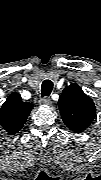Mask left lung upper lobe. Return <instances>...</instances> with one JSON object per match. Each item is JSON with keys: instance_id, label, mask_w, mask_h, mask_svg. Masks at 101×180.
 <instances>
[{"instance_id": "5c2ea615", "label": "left lung upper lobe", "mask_w": 101, "mask_h": 180, "mask_svg": "<svg viewBox=\"0 0 101 180\" xmlns=\"http://www.w3.org/2000/svg\"><path fill=\"white\" fill-rule=\"evenodd\" d=\"M58 106L64 123L74 132L85 130L96 115L94 102L76 83L63 90Z\"/></svg>"}]
</instances>
